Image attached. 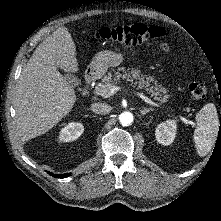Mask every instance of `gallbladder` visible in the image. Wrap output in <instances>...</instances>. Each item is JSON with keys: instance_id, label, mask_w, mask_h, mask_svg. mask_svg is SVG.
Instances as JSON below:
<instances>
[{"instance_id": "obj_1", "label": "gallbladder", "mask_w": 221, "mask_h": 221, "mask_svg": "<svg viewBox=\"0 0 221 221\" xmlns=\"http://www.w3.org/2000/svg\"><path fill=\"white\" fill-rule=\"evenodd\" d=\"M64 78L68 82V84L73 87H76L79 84L78 78L72 74H66Z\"/></svg>"}]
</instances>
